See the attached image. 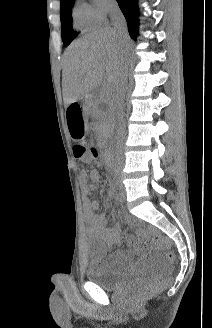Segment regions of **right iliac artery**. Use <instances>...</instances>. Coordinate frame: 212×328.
Segmentation results:
<instances>
[{"label": "right iliac artery", "mask_w": 212, "mask_h": 328, "mask_svg": "<svg viewBox=\"0 0 212 328\" xmlns=\"http://www.w3.org/2000/svg\"><path fill=\"white\" fill-rule=\"evenodd\" d=\"M118 198H119V200H120V201H122V196H121V195H119V197H118Z\"/></svg>", "instance_id": "82829eb1"}]
</instances>
